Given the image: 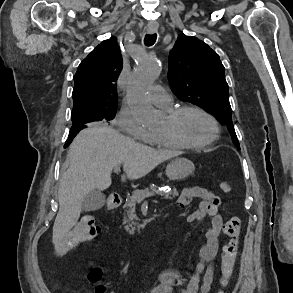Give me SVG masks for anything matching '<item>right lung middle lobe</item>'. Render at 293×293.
<instances>
[{
  "label": "right lung middle lobe",
  "mask_w": 293,
  "mask_h": 293,
  "mask_svg": "<svg viewBox=\"0 0 293 293\" xmlns=\"http://www.w3.org/2000/svg\"><path fill=\"white\" fill-rule=\"evenodd\" d=\"M116 109L109 110H89L85 108L73 107L72 110V124L81 125L88 124L94 121H110L114 119Z\"/></svg>",
  "instance_id": "1"
}]
</instances>
